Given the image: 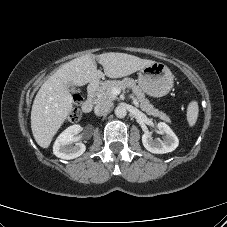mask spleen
<instances>
[{
  "label": "spleen",
  "mask_w": 227,
  "mask_h": 227,
  "mask_svg": "<svg viewBox=\"0 0 227 227\" xmlns=\"http://www.w3.org/2000/svg\"><path fill=\"white\" fill-rule=\"evenodd\" d=\"M199 107L196 101H192L187 109V121L190 126H194L198 118Z\"/></svg>",
  "instance_id": "3e777b00"
}]
</instances>
